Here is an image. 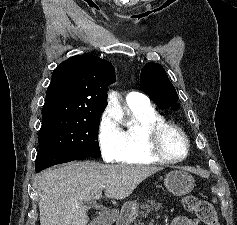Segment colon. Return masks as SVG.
I'll return each instance as SVG.
<instances>
[{"instance_id":"5ec220e1","label":"colon","mask_w":237,"mask_h":225,"mask_svg":"<svg viewBox=\"0 0 237 225\" xmlns=\"http://www.w3.org/2000/svg\"><path fill=\"white\" fill-rule=\"evenodd\" d=\"M182 204L188 212L196 213L197 217L205 225H219L215 208L210 202L188 195L183 198Z\"/></svg>"}]
</instances>
